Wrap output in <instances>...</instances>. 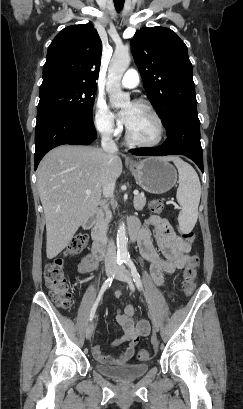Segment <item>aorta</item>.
I'll return each instance as SVG.
<instances>
[{"instance_id": "762f6f07", "label": "aorta", "mask_w": 243, "mask_h": 409, "mask_svg": "<svg viewBox=\"0 0 243 409\" xmlns=\"http://www.w3.org/2000/svg\"><path fill=\"white\" fill-rule=\"evenodd\" d=\"M128 51H116L110 62L106 81V91L113 108H123L129 105L130 96L121 89V78L130 64ZM127 234L125 224L122 222L117 231V257L126 259L128 257Z\"/></svg>"}]
</instances>
